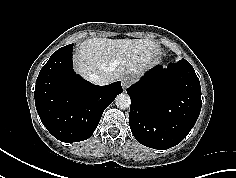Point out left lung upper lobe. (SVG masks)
I'll list each match as a JSON object with an SVG mask.
<instances>
[{"mask_svg": "<svg viewBox=\"0 0 236 178\" xmlns=\"http://www.w3.org/2000/svg\"><path fill=\"white\" fill-rule=\"evenodd\" d=\"M180 61H186L185 59H182V60H180Z\"/></svg>", "mask_w": 236, "mask_h": 178, "instance_id": "left-lung-upper-lobe-1", "label": "left lung upper lobe"}]
</instances>
